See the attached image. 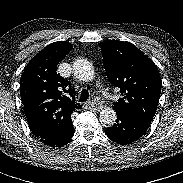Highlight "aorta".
Returning <instances> with one entry per match:
<instances>
[{
	"label": "aorta",
	"instance_id": "762f6f07",
	"mask_svg": "<svg viewBox=\"0 0 183 183\" xmlns=\"http://www.w3.org/2000/svg\"><path fill=\"white\" fill-rule=\"evenodd\" d=\"M73 73L82 81H90L95 78L94 67L86 59H77L73 62ZM116 119L117 115L113 108L107 107L101 110L99 120L103 126H113Z\"/></svg>",
	"mask_w": 183,
	"mask_h": 183
}]
</instances>
